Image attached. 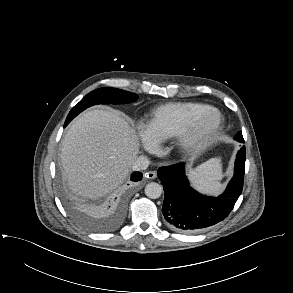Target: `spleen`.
Wrapping results in <instances>:
<instances>
[{"label":"spleen","mask_w":293,"mask_h":293,"mask_svg":"<svg viewBox=\"0 0 293 293\" xmlns=\"http://www.w3.org/2000/svg\"><path fill=\"white\" fill-rule=\"evenodd\" d=\"M221 163L219 159H211L190 172L195 187L203 192L218 193L222 178Z\"/></svg>","instance_id":"1"}]
</instances>
